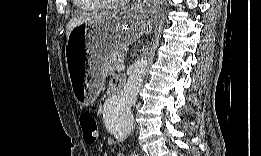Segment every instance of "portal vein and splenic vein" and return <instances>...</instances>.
<instances>
[{"label": "portal vein and splenic vein", "mask_w": 261, "mask_h": 156, "mask_svg": "<svg viewBox=\"0 0 261 156\" xmlns=\"http://www.w3.org/2000/svg\"><path fill=\"white\" fill-rule=\"evenodd\" d=\"M125 68V65L123 63H120L118 65H116L115 69L117 71H122Z\"/></svg>", "instance_id": "portal-vein-and-splenic-vein-1"}]
</instances>
